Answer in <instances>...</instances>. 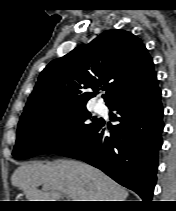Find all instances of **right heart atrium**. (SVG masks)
<instances>
[{
    "label": "right heart atrium",
    "mask_w": 176,
    "mask_h": 211,
    "mask_svg": "<svg viewBox=\"0 0 176 211\" xmlns=\"http://www.w3.org/2000/svg\"><path fill=\"white\" fill-rule=\"evenodd\" d=\"M62 130L65 134H70L72 132V123L69 120H65L62 123Z\"/></svg>",
    "instance_id": "right-heart-atrium-1"
}]
</instances>
